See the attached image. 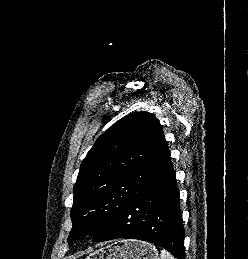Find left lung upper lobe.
Here are the masks:
<instances>
[{
	"label": "left lung upper lobe",
	"instance_id": "left-lung-upper-lobe-1",
	"mask_svg": "<svg viewBox=\"0 0 248 259\" xmlns=\"http://www.w3.org/2000/svg\"><path fill=\"white\" fill-rule=\"evenodd\" d=\"M172 166L163 129L148 112H134L104 132L84 158L74 186L68 237H95Z\"/></svg>",
	"mask_w": 248,
	"mask_h": 259
}]
</instances>
